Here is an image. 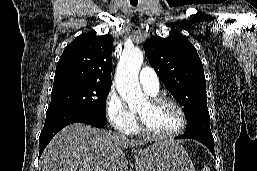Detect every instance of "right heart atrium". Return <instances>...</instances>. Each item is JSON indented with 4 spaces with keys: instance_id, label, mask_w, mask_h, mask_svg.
<instances>
[{
    "instance_id": "right-heart-atrium-1",
    "label": "right heart atrium",
    "mask_w": 257,
    "mask_h": 171,
    "mask_svg": "<svg viewBox=\"0 0 257 171\" xmlns=\"http://www.w3.org/2000/svg\"><path fill=\"white\" fill-rule=\"evenodd\" d=\"M105 113L110 124L121 132H128L133 126L136 116L122 96L114 89L110 90L105 100Z\"/></svg>"
}]
</instances>
